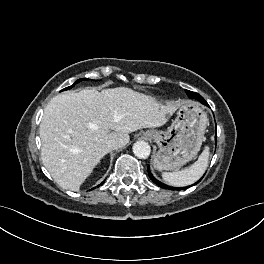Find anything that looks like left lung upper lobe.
I'll return each instance as SVG.
<instances>
[{
  "instance_id": "1",
  "label": "left lung upper lobe",
  "mask_w": 264,
  "mask_h": 264,
  "mask_svg": "<svg viewBox=\"0 0 264 264\" xmlns=\"http://www.w3.org/2000/svg\"><path fill=\"white\" fill-rule=\"evenodd\" d=\"M186 93H187V95H188L190 98H194L193 95H195V92H191V91L186 90Z\"/></svg>"
}]
</instances>
